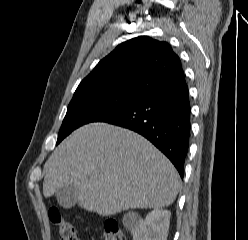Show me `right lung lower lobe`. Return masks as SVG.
Segmentation results:
<instances>
[{"mask_svg":"<svg viewBox=\"0 0 248 240\" xmlns=\"http://www.w3.org/2000/svg\"><path fill=\"white\" fill-rule=\"evenodd\" d=\"M191 106L186 81L142 97L100 120L133 130L163 152L184 176L191 133Z\"/></svg>","mask_w":248,"mask_h":240,"instance_id":"obj_1","label":"right lung lower lobe"}]
</instances>
